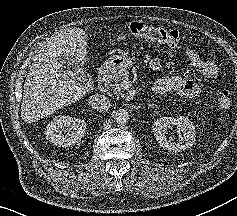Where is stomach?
Segmentation results:
<instances>
[{
	"instance_id": "stomach-1",
	"label": "stomach",
	"mask_w": 237,
	"mask_h": 216,
	"mask_svg": "<svg viewBox=\"0 0 237 216\" xmlns=\"http://www.w3.org/2000/svg\"><path fill=\"white\" fill-rule=\"evenodd\" d=\"M132 58L129 53H121L111 57L106 62V67L112 71L123 72L132 65Z\"/></svg>"
}]
</instances>
